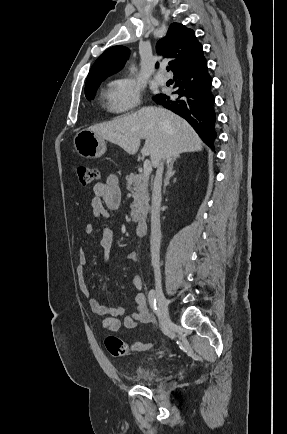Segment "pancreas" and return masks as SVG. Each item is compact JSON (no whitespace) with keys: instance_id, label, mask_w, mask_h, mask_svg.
<instances>
[{"instance_id":"1","label":"pancreas","mask_w":287,"mask_h":434,"mask_svg":"<svg viewBox=\"0 0 287 434\" xmlns=\"http://www.w3.org/2000/svg\"><path fill=\"white\" fill-rule=\"evenodd\" d=\"M127 190L134 198L130 205L131 217L134 222L144 219L149 211L148 179L143 174H130L126 177Z\"/></svg>"}]
</instances>
